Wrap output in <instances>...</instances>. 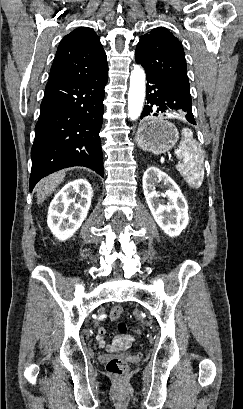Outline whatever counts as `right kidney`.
I'll return each mask as SVG.
<instances>
[{"mask_svg":"<svg viewBox=\"0 0 243 409\" xmlns=\"http://www.w3.org/2000/svg\"><path fill=\"white\" fill-rule=\"evenodd\" d=\"M92 187L86 179L67 183L53 198L47 223L59 240L70 238L81 226L91 205Z\"/></svg>","mask_w":243,"mask_h":409,"instance_id":"obj_1","label":"right kidney"}]
</instances>
